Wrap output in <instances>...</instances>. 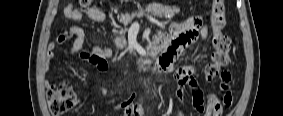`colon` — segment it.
I'll return each mask as SVG.
<instances>
[{
	"instance_id": "obj_1",
	"label": "colon",
	"mask_w": 283,
	"mask_h": 116,
	"mask_svg": "<svg viewBox=\"0 0 283 116\" xmlns=\"http://www.w3.org/2000/svg\"><path fill=\"white\" fill-rule=\"evenodd\" d=\"M90 0H79L83 10H87ZM210 24L213 30V47L211 62L205 67V79L211 82L216 78L222 79L225 83H230L231 74L225 70L230 64L231 39L223 33L226 27L225 5L223 0H213L210 15ZM75 94L69 85L61 83L51 87L49 90V108L53 115H63L67 113L75 103ZM231 99H221L216 94L208 96L207 112L209 116H220L224 108H229Z\"/></svg>"
}]
</instances>
